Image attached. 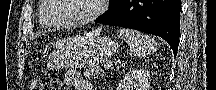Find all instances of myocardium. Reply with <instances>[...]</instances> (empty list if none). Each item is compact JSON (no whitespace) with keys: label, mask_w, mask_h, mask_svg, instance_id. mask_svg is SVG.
Segmentation results:
<instances>
[{"label":"myocardium","mask_w":216,"mask_h":90,"mask_svg":"<svg viewBox=\"0 0 216 90\" xmlns=\"http://www.w3.org/2000/svg\"><path fill=\"white\" fill-rule=\"evenodd\" d=\"M91 1H93V3H96V8L94 9V11L90 15H88L83 20L77 22L76 24L60 25V24H56L54 22V18H56L57 15H59L60 12L63 11V9H64L63 4H65V3L60 2V0H48V2L52 3L55 6V8H52V11H48V14H46L44 21L50 28H52L54 30H58V31H70V30H74V29L83 27L86 24H88V23L92 22L93 20H95L96 18H98L104 11V8L100 3H106V0H91Z\"/></svg>","instance_id":"1"}]
</instances>
